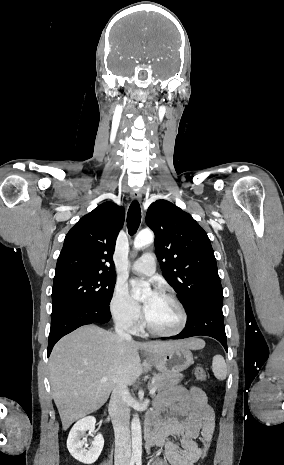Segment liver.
<instances>
[{
    "label": "liver",
    "instance_id": "6515ba94",
    "mask_svg": "<svg viewBox=\"0 0 284 465\" xmlns=\"http://www.w3.org/2000/svg\"><path fill=\"white\" fill-rule=\"evenodd\" d=\"M178 343L186 349H204L202 339L169 343H136L104 331L96 325L77 329L56 343L49 361V379L54 403L64 431L70 425L98 411L115 387L133 385L152 365L141 363L139 349L150 353H168ZM102 377H108L101 383Z\"/></svg>",
    "mask_w": 284,
    "mask_h": 465
}]
</instances>
